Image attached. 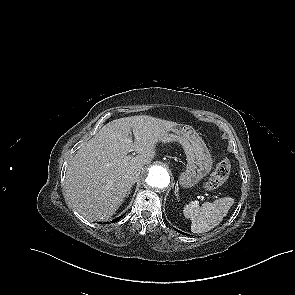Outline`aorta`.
<instances>
[{"label": "aorta", "instance_id": "aorta-1", "mask_svg": "<svg viewBox=\"0 0 295 295\" xmlns=\"http://www.w3.org/2000/svg\"><path fill=\"white\" fill-rule=\"evenodd\" d=\"M145 183L148 188L153 190L164 189L170 183V174L165 167L153 165L148 168Z\"/></svg>", "mask_w": 295, "mask_h": 295}]
</instances>
